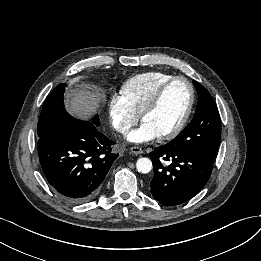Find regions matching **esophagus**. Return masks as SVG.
<instances>
[{"instance_id":"34e87169","label":"esophagus","mask_w":261,"mask_h":261,"mask_svg":"<svg viewBox=\"0 0 261 261\" xmlns=\"http://www.w3.org/2000/svg\"><path fill=\"white\" fill-rule=\"evenodd\" d=\"M130 150L134 155H139L143 153V149L138 146L131 147Z\"/></svg>"}]
</instances>
